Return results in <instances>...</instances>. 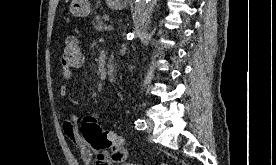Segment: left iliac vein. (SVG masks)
<instances>
[{
	"label": "left iliac vein",
	"mask_w": 276,
	"mask_h": 165,
	"mask_svg": "<svg viewBox=\"0 0 276 165\" xmlns=\"http://www.w3.org/2000/svg\"><path fill=\"white\" fill-rule=\"evenodd\" d=\"M153 125H154L153 121L151 119H148L147 120V128H146V131L148 133H150L152 131Z\"/></svg>",
	"instance_id": "4c4485c4"
}]
</instances>
